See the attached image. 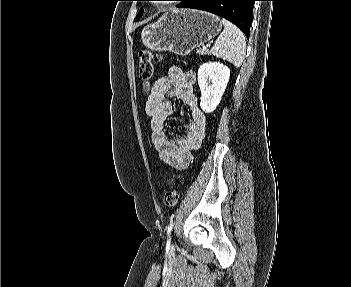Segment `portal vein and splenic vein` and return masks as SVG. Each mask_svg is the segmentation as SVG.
<instances>
[{
    "instance_id": "18ae733b",
    "label": "portal vein and splenic vein",
    "mask_w": 351,
    "mask_h": 287,
    "mask_svg": "<svg viewBox=\"0 0 351 287\" xmlns=\"http://www.w3.org/2000/svg\"><path fill=\"white\" fill-rule=\"evenodd\" d=\"M208 46H209V45H207V47H208ZM203 49H206V47L204 46Z\"/></svg>"
}]
</instances>
